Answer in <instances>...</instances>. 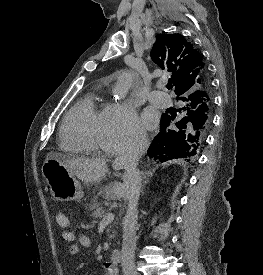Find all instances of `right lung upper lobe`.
I'll list each match as a JSON object with an SVG mask.
<instances>
[{
	"label": "right lung upper lobe",
	"mask_w": 263,
	"mask_h": 275,
	"mask_svg": "<svg viewBox=\"0 0 263 275\" xmlns=\"http://www.w3.org/2000/svg\"><path fill=\"white\" fill-rule=\"evenodd\" d=\"M151 59L162 69L172 72L177 97L198 89L207 90L204 110L211 122L213 99L211 85L205 77V64L200 53L181 34H159L151 50Z\"/></svg>",
	"instance_id": "cb5924a9"
}]
</instances>
